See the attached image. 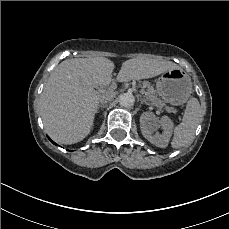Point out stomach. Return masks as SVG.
Segmentation results:
<instances>
[{"label": "stomach", "instance_id": "obj_1", "mask_svg": "<svg viewBox=\"0 0 229 229\" xmlns=\"http://www.w3.org/2000/svg\"><path fill=\"white\" fill-rule=\"evenodd\" d=\"M156 89L162 99L178 106L187 102L192 93V82L182 68L170 69L156 80Z\"/></svg>", "mask_w": 229, "mask_h": 229}]
</instances>
